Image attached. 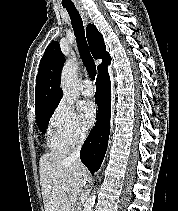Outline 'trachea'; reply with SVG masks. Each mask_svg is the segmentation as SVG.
Segmentation results:
<instances>
[{
  "label": "trachea",
  "instance_id": "3493384b",
  "mask_svg": "<svg viewBox=\"0 0 178 211\" xmlns=\"http://www.w3.org/2000/svg\"><path fill=\"white\" fill-rule=\"evenodd\" d=\"M64 8L67 10L70 16L71 24L78 44V50L83 64L86 67L89 77L94 80L96 76V65L88 48L82 18L75 6H64Z\"/></svg>",
  "mask_w": 178,
  "mask_h": 211
}]
</instances>
